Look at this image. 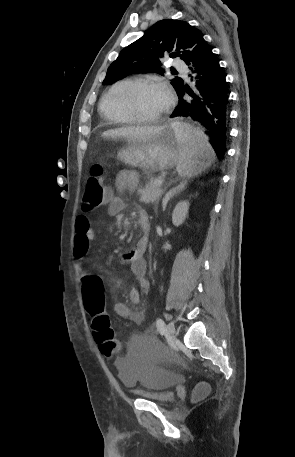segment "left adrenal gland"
I'll return each instance as SVG.
<instances>
[{
    "label": "left adrenal gland",
    "mask_w": 295,
    "mask_h": 457,
    "mask_svg": "<svg viewBox=\"0 0 295 457\" xmlns=\"http://www.w3.org/2000/svg\"><path fill=\"white\" fill-rule=\"evenodd\" d=\"M186 184V181H182L178 186H176L175 188L171 189L169 192L166 193L162 201L163 210L166 208V205L171 198H173L175 195L179 194L181 191L185 189Z\"/></svg>",
    "instance_id": "left-adrenal-gland-1"
}]
</instances>
